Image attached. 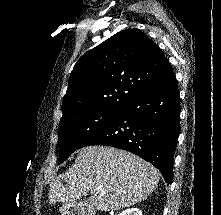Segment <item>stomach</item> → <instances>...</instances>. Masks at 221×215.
Here are the masks:
<instances>
[{
    "instance_id": "1",
    "label": "stomach",
    "mask_w": 221,
    "mask_h": 215,
    "mask_svg": "<svg viewBox=\"0 0 221 215\" xmlns=\"http://www.w3.org/2000/svg\"><path fill=\"white\" fill-rule=\"evenodd\" d=\"M74 205L71 203H65L61 208L60 212L62 215H74Z\"/></svg>"
}]
</instances>
